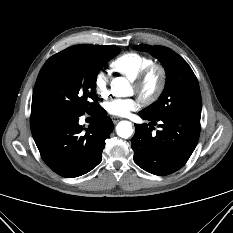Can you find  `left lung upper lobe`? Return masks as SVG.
<instances>
[{
	"instance_id": "obj_1",
	"label": "left lung upper lobe",
	"mask_w": 233,
	"mask_h": 233,
	"mask_svg": "<svg viewBox=\"0 0 233 233\" xmlns=\"http://www.w3.org/2000/svg\"><path fill=\"white\" fill-rule=\"evenodd\" d=\"M134 49L149 51L163 64L167 80L160 98L141 111L151 119L177 113L201 115V93L198 80L188 63L173 50L164 46L141 44Z\"/></svg>"
}]
</instances>
